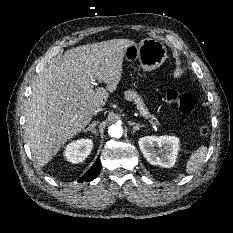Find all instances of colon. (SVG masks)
<instances>
[{
  "label": "colon",
  "instance_id": "1",
  "mask_svg": "<svg viewBox=\"0 0 233 233\" xmlns=\"http://www.w3.org/2000/svg\"><path fill=\"white\" fill-rule=\"evenodd\" d=\"M166 102L175 108H178L183 114L191 115L196 111V99L192 94L180 93L175 89H169L165 94ZM198 133L203 137H208L210 129L207 125L199 126Z\"/></svg>",
  "mask_w": 233,
  "mask_h": 233
}]
</instances>
